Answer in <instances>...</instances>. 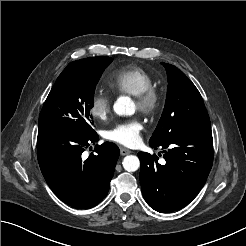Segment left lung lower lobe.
<instances>
[{"label": "left lung lower lobe", "mask_w": 246, "mask_h": 246, "mask_svg": "<svg viewBox=\"0 0 246 246\" xmlns=\"http://www.w3.org/2000/svg\"><path fill=\"white\" fill-rule=\"evenodd\" d=\"M165 163L156 155L138 153L140 183L145 201L154 210L169 213L189 204L204 186L213 163L211 129L176 133L159 145Z\"/></svg>", "instance_id": "0a47b994"}]
</instances>
